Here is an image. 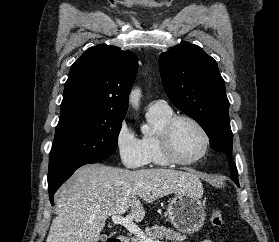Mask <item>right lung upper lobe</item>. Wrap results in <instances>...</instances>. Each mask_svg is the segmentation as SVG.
<instances>
[{
    "instance_id": "1",
    "label": "right lung upper lobe",
    "mask_w": 279,
    "mask_h": 242,
    "mask_svg": "<svg viewBox=\"0 0 279 242\" xmlns=\"http://www.w3.org/2000/svg\"><path fill=\"white\" fill-rule=\"evenodd\" d=\"M137 70L138 58L131 51L110 45L88 49L71 66L61 114L80 110L96 116L124 118Z\"/></svg>"
}]
</instances>
